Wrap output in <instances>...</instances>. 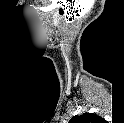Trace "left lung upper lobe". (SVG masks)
<instances>
[{
  "label": "left lung upper lobe",
  "instance_id": "obj_1",
  "mask_svg": "<svg viewBox=\"0 0 124 123\" xmlns=\"http://www.w3.org/2000/svg\"><path fill=\"white\" fill-rule=\"evenodd\" d=\"M97 119H99V116L93 113H84L83 115L72 117L69 123H94V120Z\"/></svg>",
  "mask_w": 124,
  "mask_h": 123
}]
</instances>
